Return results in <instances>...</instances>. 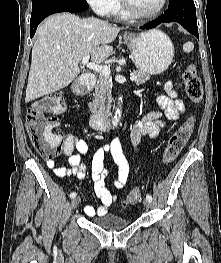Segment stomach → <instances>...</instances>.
I'll return each mask as SVG.
<instances>
[{"instance_id": "0dacf381", "label": "stomach", "mask_w": 221, "mask_h": 263, "mask_svg": "<svg viewBox=\"0 0 221 263\" xmlns=\"http://www.w3.org/2000/svg\"><path fill=\"white\" fill-rule=\"evenodd\" d=\"M135 66L150 75L163 73L171 64L174 46L162 31L153 29L124 37Z\"/></svg>"}]
</instances>
